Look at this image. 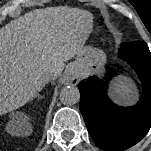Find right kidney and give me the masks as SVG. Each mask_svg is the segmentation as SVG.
Masks as SVG:
<instances>
[{"label": "right kidney", "mask_w": 151, "mask_h": 151, "mask_svg": "<svg viewBox=\"0 0 151 151\" xmlns=\"http://www.w3.org/2000/svg\"><path fill=\"white\" fill-rule=\"evenodd\" d=\"M11 122H13V123H17V122L18 123H23V122H25V120L21 119L20 114H18V112H17L15 114H13Z\"/></svg>", "instance_id": "obj_1"}]
</instances>
